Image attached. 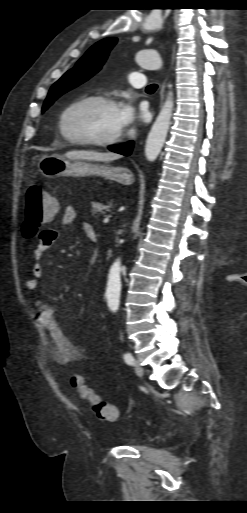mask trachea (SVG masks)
Instances as JSON below:
<instances>
[{"instance_id":"trachea-1","label":"trachea","mask_w":247,"mask_h":513,"mask_svg":"<svg viewBox=\"0 0 247 513\" xmlns=\"http://www.w3.org/2000/svg\"><path fill=\"white\" fill-rule=\"evenodd\" d=\"M156 89H157V85L156 84H151V85L147 86L146 92L153 93Z\"/></svg>"}]
</instances>
